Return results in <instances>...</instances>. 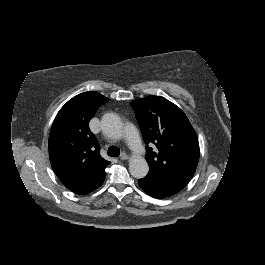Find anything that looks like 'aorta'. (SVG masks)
<instances>
[{
	"label": "aorta",
	"mask_w": 265,
	"mask_h": 265,
	"mask_svg": "<svg viewBox=\"0 0 265 265\" xmlns=\"http://www.w3.org/2000/svg\"><path fill=\"white\" fill-rule=\"evenodd\" d=\"M102 131L104 135L112 139L122 137V122L118 115L107 113L103 115L101 120ZM149 171V165L143 157H134L129 162V172L137 179L144 178Z\"/></svg>",
	"instance_id": "obj_1"
}]
</instances>
